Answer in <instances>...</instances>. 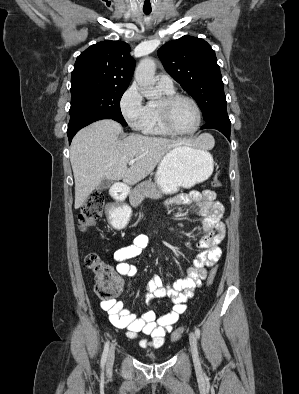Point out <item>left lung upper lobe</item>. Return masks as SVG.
<instances>
[{"label": "left lung upper lobe", "instance_id": "obj_1", "mask_svg": "<svg viewBox=\"0 0 299 394\" xmlns=\"http://www.w3.org/2000/svg\"><path fill=\"white\" fill-rule=\"evenodd\" d=\"M158 56L168 74L197 101L206 122L228 117L220 67L205 40L183 36L164 44Z\"/></svg>", "mask_w": 299, "mask_h": 394}]
</instances>
